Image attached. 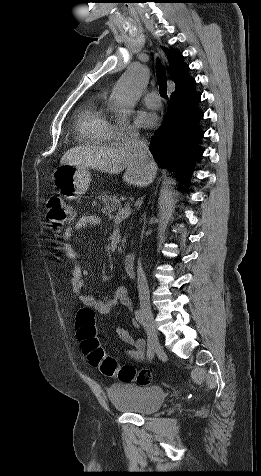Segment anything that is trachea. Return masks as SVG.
<instances>
[{
    "mask_svg": "<svg viewBox=\"0 0 261 476\" xmlns=\"http://www.w3.org/2000/svg\"><path fill=\"white\" fill-rule=\"evenodd\" d=\"M156 74L159 83V93L161 97L167 98V78L160 60L156 63Z\"/></svg>",
    "mask_w": 261,
    "mask_h": 476,
    "instance_id": "trachea-1",
    "label": "trachea"
}]
</instances>
